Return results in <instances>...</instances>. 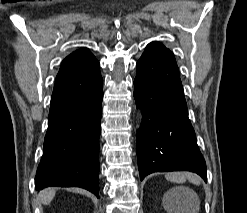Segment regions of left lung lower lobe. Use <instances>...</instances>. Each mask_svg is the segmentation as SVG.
I'll return each instance as SVG.
<instances>
[{
	"mask_svg": "<svg viewBox=\"0 0 247 213\" xmlns=\"http://www.w3.org/2000/svg\"><path fill=\"white\" fill-rule=\"evenodd\" d=\"M134 97L143 114L137 133L141 180L153 172L191 171L206 182V163L188 118L172 52L142 56L138 60Z\"/></svg>",
	"mask_w": 247,
	"mask_h": 213,
	"instance_id": "obj_1",
	"label": "left lung lower lobe"
}]
</instances>
